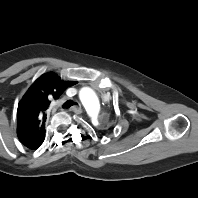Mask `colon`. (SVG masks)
<instances>
[{"instance_id": "5ec220e1", "label": "colon", "mask_w": 198, "mask_h": 198, "mask_svg": "<svg viewBox=\"0 0 198 198\" xmlns=\"http://www.w3.org/2000/svg\"><path fill=\"white\" fill-rule=\"evenodd\" d=\"M88 139H89V136L86 135V134H84V135H83V140H88Z\"/></svg>"}]
</instances>
